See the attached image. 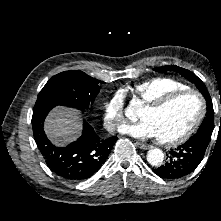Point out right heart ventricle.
<instances>
[{"label":"right heart ventricle","instance_id":"1","mask_svg":"<svg viewBox=\"0 0 221 221\" xmlns=\"http://www.w3.org/2000/svg\"><path fill=\"white\" fill-rule=\"evenodd\" d=\"M188 88L184 83L170 77H155L142 81L131 90L132 97L142 104L157 100L163 95L181 89Z\"/></svg>","mask_w":221,"mask_h":221}]
</instances>
